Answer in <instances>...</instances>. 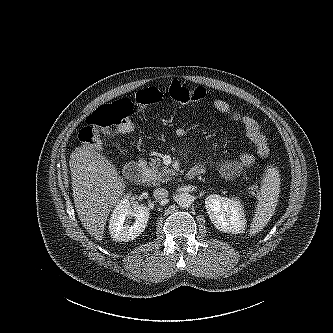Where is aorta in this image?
Segmentation results:
<instances>
[{
	"label": "aorta",
	"mask_w": 333,
	"mask_h": 333,
	"mask_svg": "<svg viewBox=\"0 0 333 333\" xmlns=\"http://www.w3.org/2000/svg\"><path fill=\"white\" fill-rule=\"evenodd\" d=\"M192 202H193V196L188 192L181 193L177 197V203L182 208H187L191 206Z\"/></svg>",
	"instance_id": "obj_1"
}]
</instances>
